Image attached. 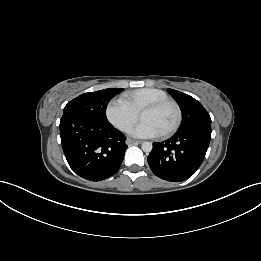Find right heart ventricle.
I'll return each instance as SVG.
<instances>
[{
  "instance_id": "e07e8e85",
  "label": "right heart ventricle",
  "mask_w": 261,
  "mask_h": 261,
  "mask_svg": "<svg viewBox=\"0 0 261 261\" xmlns=\"http://www.w3.org/2000/svg\"><path fill=\"white\" fill-rule=\"evenodd\" d=\"M124 98L137 112H140L149 103L168 99V95L160 89L143 88L126 94Z\"/></svg>"
}]
</instances>
